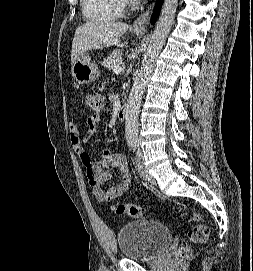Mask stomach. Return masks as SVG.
Listing matches in <instances>:
<instances>
[{
    "label": "stomach",
    "instance_id": "obj_1",
    "mask_svg": "<svg viewBox=\"0 0 253 271\" xmlns=\"http://www.w3.org/2000/svg\"><path fill=\"white\" fill-rule=\"evenodd\" d=\"M137 36L141 34L137 33ZM72 76L79 84H88L95 81L99 75V67L91 61V58L86 53L81 54L72 64Z\"/></svg>",
    "mask_w": 253,
    "mask_h": 271
}]
</instances>
